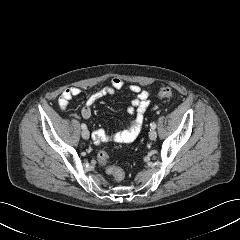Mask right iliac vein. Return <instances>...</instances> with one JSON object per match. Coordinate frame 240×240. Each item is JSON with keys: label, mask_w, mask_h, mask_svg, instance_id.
<instances>
[{"label": "right iliac vein", "mask_w": 240, "mask_h": 240, "mask_svg": "<svg viewBox=\"0 0 240 240\" xmlns=\"http://www.w3.org/2000/svg\"><path fill=\"white\" fill-rule=\"evenodd\" d=\"M81 135H82V137H83L84 139L87 140V139H89V137H90V132H89L88 130L84 129V130L82 131Z\"/></svg>", "instance_id": "obj_1"}]
</instances>
